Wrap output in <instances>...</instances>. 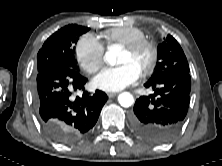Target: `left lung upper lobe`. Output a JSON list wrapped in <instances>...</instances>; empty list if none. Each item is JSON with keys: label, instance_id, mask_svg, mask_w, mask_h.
<instances>
[{"label": "left lung upper lobe", "instance_id": "5c2ea615", "mask_svg": "<svg viewBox=\"0 0 222 166\" xmlns=\"http://www.w3.org/2000/svg\"><path fill=\"white\" fill-rule=\"evenodd\" d=\"M159 61L157 68L149 80H158L160 78L189 73V65L186 56L179 43L168 35L158 46Z\"/></svg>", "mask_w": 222, "mask_h": 166}]
</instances>
